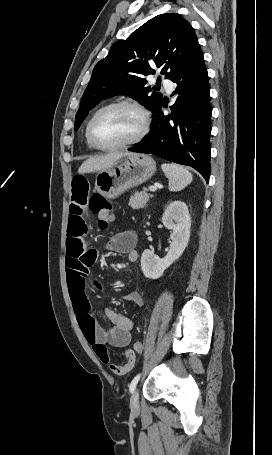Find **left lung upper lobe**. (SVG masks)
Listing matches in <instances>:
<instances>
[{
	"instance_id": "obj_1",
	"label": "left lung upper lobe",
	"mask_w": 272,
	"mask_h": 455,
	"mask_svg": "<svg viewBox=\"0 0 272 455\" xmlns=\"http://www.w3.org/2000/svg\"><path fill=\"white\" fill-rule=\"evenodd\" d=\"M202 55L194 29L181 15L162 14L150 19L126 40L116 42L106 58L96 64L76 114L75 130L88 111L109 96H135L153 112L162 102V94L145 87L144 77L155 74L156 66L169 79Z\"/></svg>"
}]
</instances>
